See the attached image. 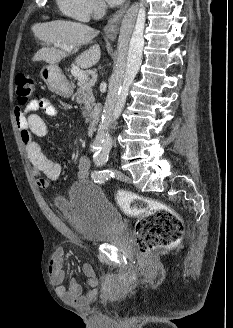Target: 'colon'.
Masks as SVG:
<instances>
[{
	"label": "colon",
	"instance_id": "obj_1",
	"mask_svg": "<svg viewBox=\"0 0 233 328\" xmlns=\"http://www.w3.org/2000/svg\"><path fill=\"white\" fill-rule=\"evenodd\" d=\"M34 80L23 73L15 77V92L20 104H25L33 95ZM121 210L128 216L138 218L135 228L136 243L141 254L167 248L182 237L184 226L180 216L170 207L129 192L116 196Z\"/></svg>",
	"mask_w": 233,
	"mask_h": 328
}]
</instances>
